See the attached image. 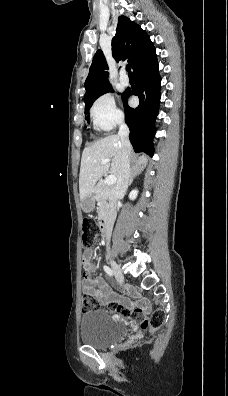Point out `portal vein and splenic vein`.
I'll list each match as a JSON object with an SVG mask.
<instances>
[{"instance_id": "portal-vein-and-splenic-vein-1", "label": "portal vein and splenic vein", "mask_w": 228, "mask_h": 396, "mask_svg": "<svg viewBox=\"0 0 228 396\" xmlns=\"http://www.w3.org/2000/svg\"><path fill=\"white\" fill-rule=\"evenodd\" d=\"M110 161V159H102L101 164H106ZM116 182V177L114 175H110L106 178L105 183L107 185H113Z\"/></svg>"}]
</instances>
